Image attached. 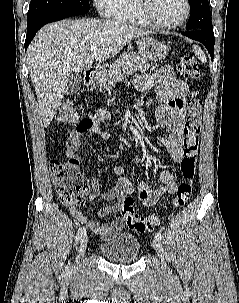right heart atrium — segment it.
I'll list each match as a JSON object with an SVG mask.
<instances>
[{
    "label": "right heart atrium",
    "instance_id": "1",
    "mask_svg": "<svg viewBox=\"0 0 239 303\" xmlns=\"http://www.w3.org/2000/svg\"><path fill=\"white\" fill-rule=\"evenodd\" d=\"M101 15L113 17L119 5L120 0H93Z\"/></svg>",
    "mask_w": 239,
    "mask_h": 303
}]
</instances>
